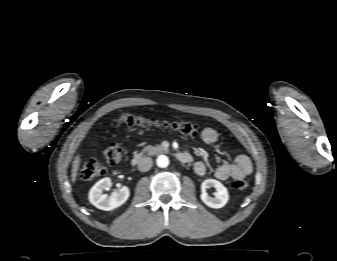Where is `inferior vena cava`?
Instances as JSON below:
<instances>
[{"label":"inferior vena cava","instance_id":"1","mask_svg":"<svg viewBox=\"0 0 337 261\" xmlns=\"http://www.w3.org/2000/svg\"><path fill=\"white\" fill-rule=\"evenodd\" d=\"M153 165V161L150 157H142L138 161V170L141 172H147Z\"/></svg>","mask_w":337,"mask_h":261}]
</instances>
